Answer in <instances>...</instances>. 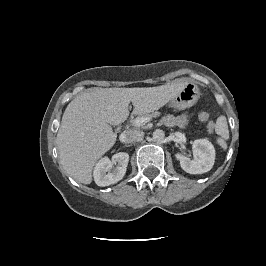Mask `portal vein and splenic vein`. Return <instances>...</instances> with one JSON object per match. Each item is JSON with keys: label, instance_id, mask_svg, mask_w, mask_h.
Wrapping results in <instances>:
<instances>
[{"label": "portal vein and splenic vein", "instance_id": "1", "mask_svg": "<svg viewBox=\"0 0 266 266\" xmlns=\"http://www.w3.org/2000/svg\"><path fill=\"white\" fill-rule=\"evenodd\" d=\"M150 120H151V118H149V117H141V118H136L135 123L137 125H143V124L149 122Z\"/></svg>", "mask_w": 266, "mask_h": 266}]
</instances>
